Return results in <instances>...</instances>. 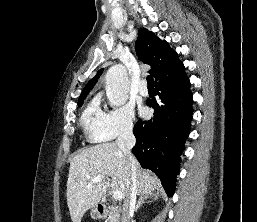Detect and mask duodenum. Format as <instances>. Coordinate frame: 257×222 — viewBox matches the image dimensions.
<instances>
[{
  "label": "duodenum",
  "instance_id": "obj_1",
  "mask_svg": "<svg viewBox=\"0 0 257 222\" xmlns=\"http://www.w3.org/2000/svg\"><path fill=\"white\" fill-rule=\"evenodd\" d=\"M108 211H109V208L106 205H98L97 206V215L100 218L105 217L107 215Z\"/></svg>",
  "mask_w": 257,
  "mask_h": 222
}]
</instances>
